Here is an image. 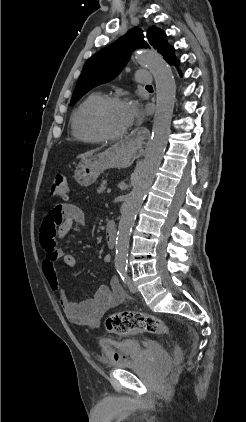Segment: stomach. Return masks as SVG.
Segmentation results:
<instances>
[{"label":"stomach","mask_w":246,"mask_h":422,"mask_svg":"<svg viewBox=\"0 0 246 422\" xmlns=\"http://www.w3.org/2000/svg\"><path fill=\"white\" fill-rule=\"evenodd\" d=\"M133 158L134 152L128 144L118 142L101 153L82 159L76 167L74 178L80 186L88 187L106 169L127 167Z\"/></svg>","instance_id":"obj_1"}]
</instances>
